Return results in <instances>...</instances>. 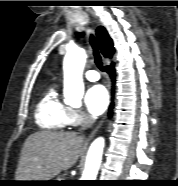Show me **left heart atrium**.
I'll list each match as a JSON object with an SVG mask.
<instances>
[{
  "label": "left heart atrium",
  "mask_w": 178,
  "mask_h": 186,
  "mask_svg": "<svg viewBox=\"0 0 178 186\" xmlns=\"http://www.w3.org/2000/svg\"><path fill=\"white\" fill-rule=\"evenodd\" d=\"M109 102L106 88L100 84L91 86L85 95V104L89 113L99 116L105 112Z\"/></svg>",
  "instance_id": "obj_1"
}]
</instances>
